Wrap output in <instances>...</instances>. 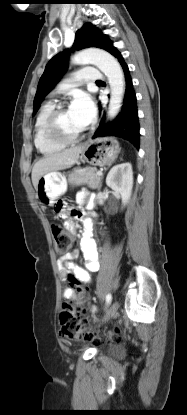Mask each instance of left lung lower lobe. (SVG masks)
Listing matches in <instances>:
<instances>
[{"label": "left lung lower lobe", "mask_w": 187, "mask_h": 415, "mask_svg": "<svg viewBox=\"0 0 187 415\" xmlns=\"http://www.w3.org/2000/svg\"><path fill=\"white\" fill-rule=\"evenodd\" d=\"M119 61L123 69L125 78V96L124 104L119 115L111 122L104 123L105 116H103L99 127L94 133L93 138L105 136H117L130 141L137 149H139V122L138 111L136 107V95L133 89L132 79L129 74V69L124 62L123 57L119 51L112 45L107 48Z\"/></svg>", "instance_id": "1"}]
</instances>
